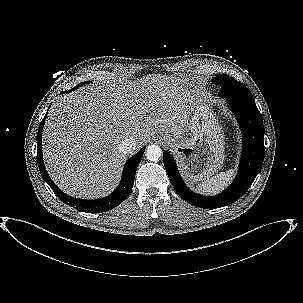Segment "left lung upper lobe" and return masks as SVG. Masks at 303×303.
Segmentation results:
<instances>
[{
	"label": "left lung upper lobe",
	"instance_id": "obj_1",
	"mask_svg": "<svg viewBox=\"0 0 303 303\" xmlns=\"http://www.w3.org/2000/svg\"><path fill=\"white\" fill-rule=\"evenodd\" d=\"M212 82L215 85H219L221 87V90L219 92V95H224L226 93H233L239 97L244 98H253L251 92L247 89V87L236 81L234 78H232L229 75H217L216 77L212 78Z\"/></svg>",
	"mask_w": 303,
	"mask_h": 303
}]
</instances>
